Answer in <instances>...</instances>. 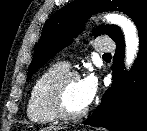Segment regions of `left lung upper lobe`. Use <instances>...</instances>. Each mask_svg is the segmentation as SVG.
<instances>
[{
    "label": "left lung upper lobe",
    "mask_w": 147,
    "mask_h": 131,
    "mask_svg": "<svg viewBox=\"0 0 147 131\" xmlns=\"http://www.w3.org/2000/svg\"><path fill=\"white\" fill-rule=\"evenodd\" d=\"M116 10L129 15L139 28L147 22V0H75L56 11L45 23L42 35L35 47L27 80L50 58L68 46L80 32L83 23L92 14ZM94 36L109 35L113 41L123 39L116 25L98 26Z\"/></svg>",
    "instance_id": "left-lung-upper-lobe-1"
}]
</instances>
